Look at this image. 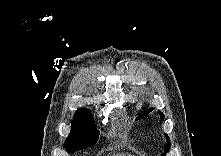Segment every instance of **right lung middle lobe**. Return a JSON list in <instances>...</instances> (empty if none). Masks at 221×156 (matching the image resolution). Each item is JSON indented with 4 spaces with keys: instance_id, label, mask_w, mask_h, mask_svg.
<instances>
[{
    "instance_id": "dd1d6c3e",
    "label": "right lung middle lobe",
    "mask_w": 221,
    "mask_h": 156,
    "mask_svg": "<svg viewBox=\"0 0 221 156\" xmlns=\"http://www.w3.org/2000/svg\"><path fill=\"white\" fill-rule=\"evenodd\" d=\"M99 134L92 114L87 109H79L74 114L71 132L64 147L69 153L90 147L98 141Z\"/></svg>"
}]
</instances>
